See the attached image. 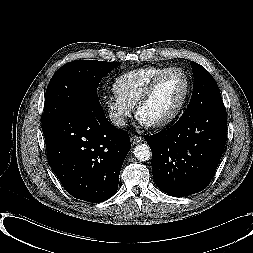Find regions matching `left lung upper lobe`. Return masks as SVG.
<instances>
[{"label":"left lung upper lobe","mask_w":253,"mask_h":253,"mask_svg":"<svg viewBox=\"0 0 253 253\" xmlns=\"http://www.w3.org/2000/svg\"><path fill=\"white\" fill-rule=\"evenodd\" d=\"M191 67L194 74L193 93L182 116L222 102L219 87L213 76L202 65L193 61H191Z\"/></svg>","instance_id":"5c2ea615"}]
</instances>
